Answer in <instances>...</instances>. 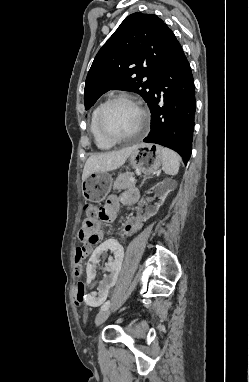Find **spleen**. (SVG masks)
I'll return each mask as SVG.
<instances>
[{"label": "spleen", "instance_id": "spleen-1", "mask_svg": "<svg viewBox=\"0 0 249 382\" xmlns=\"http://www.w3.org/2000/svg\"><path fill=\"white\" fill-rule=\"evenodd\" d=\"M162 169L167 175H176L180 167V156L173 150L161 148Z\"/></svg>", "mask_w": 249, "mask_h": 382}]
</instances>
